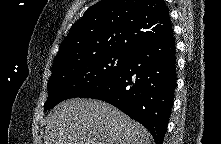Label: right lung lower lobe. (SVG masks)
<instances>
[{
    "mask_svg": "<svg viewBox=\"0 0 221 144\" xmlns=\"http://www.w3.org/2000/svg\"><path fill=\"white\" fill-rule=\"evenodd\" d=\"M173 30L134 51L110 79L80 98L100 99L141 123L161 144L176 86Z\"/></svg>",
    "mask_w": 221,
    "mask_h": 144,
    "instance_id": "1",
    "label": "right lung lower lobe"
}]
</instances>
